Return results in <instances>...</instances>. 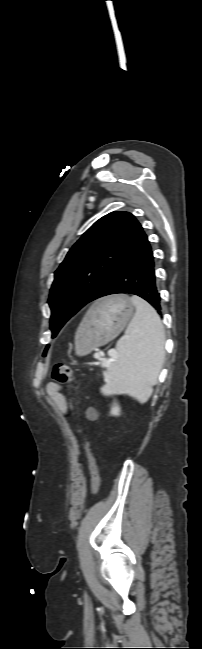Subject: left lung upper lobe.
I'll return each mask as SVG.
<instances>
[{"instance_id":"5c2ea615","label":"left lung upper lobe","mask_w":202,"mask_h":649,"mask_svg":"<svg viewBox=\"0 0 202 649\" xmlns=\"http://www.w3.org/2000/svg\"><path fill=\"white\" fill-rule=\"evenodd\" d=\"M141 229L131 213L115 211L95 222L73 245L56 270L50 289L52 338L75 313L94 300ZM60 304L64 310L57 315Z\"/></svg>"}]
</instances>
